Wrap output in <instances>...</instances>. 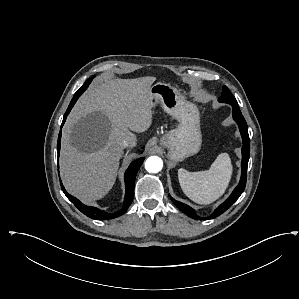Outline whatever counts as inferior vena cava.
Instances as JSON below:
<instances>
[{
	"mask_svg": "<svg viewBox=\"0 0 299 299\" xmlns=\"http://www.w3.org/2000/svg\"><path fill=\"white\" fill-rule=\"evenodd\" d=\"M136 144V136L133 133H129V135H127L122 141V146L124 148L135 147Z\"/></svg>",
	"mask_w": 299,
	"mask_h": 299,
	"instance_id": "602c4592",
	"label": "inferior vena cava"
}]
</instances>
